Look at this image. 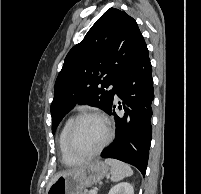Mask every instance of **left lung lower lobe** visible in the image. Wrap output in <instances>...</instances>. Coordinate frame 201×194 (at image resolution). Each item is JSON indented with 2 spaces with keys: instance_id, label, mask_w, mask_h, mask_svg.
Here are the masks:
<instances>
[{
  "instance_id": "1",
  "label": "left lung lower lobe",
  "mask_w": 201,
  "mask_h": 194,
  "mask_svg": "<svg viewBox=\"0 0 201 194\" xmlns=\"http://www.w3.org/2000/svg\"><path fill=\"white\" fill-rule=\"evenodd\" d=\"M116 94L126 104L119 106L125 114L122 118L117 116L114 104L108 110L107 113L115 119L116 135L101 157L129 163L138 168L144 176L152 139L154 99L152 68L145 41L122 78Z\"/></svg>"
}]
</instances>
